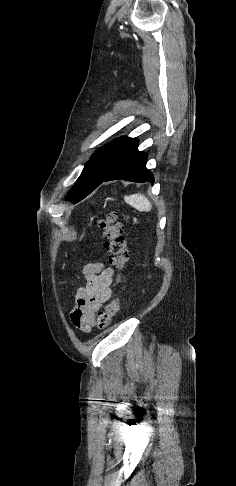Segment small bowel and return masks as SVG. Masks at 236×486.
Here are the masks:
<instances>
[{
    "instance_id": "obj_1",
    "label": "small bowel",
    "mask_w": 236,
    "mask_h": 486,
    "mask_svg": "<svg viewBox=\"0 0 236 486\" xmlns=\"http://www.w3.org/2000/svg\"><path fill=\"white\" fill-rule=\"evenodd\" d=\"M84 272L85 283L75 296L70 317L76 328L87 332L95 324L96 313L111 298L114 272L103 263L87 264Z\"/></svg>"
}]
</instances>
